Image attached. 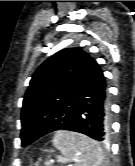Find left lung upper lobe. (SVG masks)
<instances>
[{"mask_svg": "<svg viewBox=\"0 0 135 166\" xmlns=\"http://www.w3.org/2000/svg\"><path fill=\"white\" fill-rule=\"evenodd\" d=\"M92 58L80 47L63 49L33 74L23 99L21 122L47 123L65 106L83 68Z\"/></svg>", "mask_w": 135, "mask_h": 166, "instance_id": "1", "label": "left lung upper lobe"}]
</instances>
